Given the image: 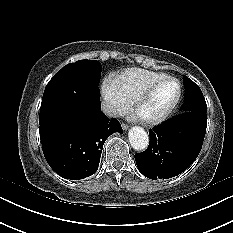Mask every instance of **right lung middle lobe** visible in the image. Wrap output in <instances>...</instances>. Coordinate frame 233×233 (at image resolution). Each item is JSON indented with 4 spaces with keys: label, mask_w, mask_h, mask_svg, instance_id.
Returning <instances> with one entry per match:
<instances>
[{
    "label": "right lung middle lobe",
    "mask_w": 233,
    "mask_h": 233,
    "mask_svg": "<svg viewBox=\"0 0 233 233\" xmlns=\"http://www.w3.org/2000/svg\"><path fill=\"white\" fill-rule=\"evenodd\" d=\"M101 71V64L94 60H81L63 67L45 88L39 125L76 119L77 106L83 96L100 99Z\"/></svg>",
    "instance_id": "obj_1"
}]
</instances>
